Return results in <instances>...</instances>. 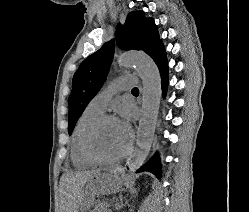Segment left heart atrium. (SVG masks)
Returning <instances> with one entry per match:
<instances>
[{
  "label": "left heart atrium",
  "mask_w": 249,
  "mask_h": 212,
  "mask_svg": "<svg viewBox=\"0 0 249 212\" xmlns=\"http://www.w3.org/2000/svg\"><path fill=\"white\" fill-rule=\"evenodd\" d=\"M118 124H119L121 131L126 136L127 143L129 145L131 142V133H132L131 126H130L129 122L126 119H122V120L118 121Z\"/></svg>",
  "instance_id": "1"
}]
</instances>
